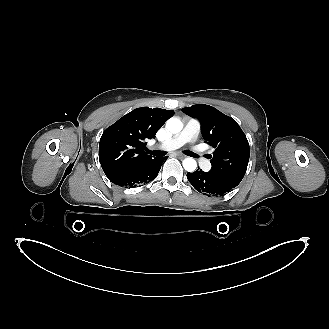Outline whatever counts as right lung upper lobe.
I'll return each instance as SVG.
<instances>
[{"mask_svg":"<svg viewBox=\"0 0 329 329\" xmlns=\"http://www.w3.org/2000/svg\"><path fill=\"white\" fill-rule=\"evenodd\" d=\"M173 113L161 108H137L103 132L99 161L108 179L126 174L152 159L145 152L146 140L153 138Z\"/></svg>","mask_w":329,"mask_h":329,"instance_id":"1","label":"right lung upper lobe"}]
</instances>
